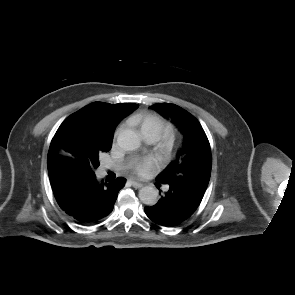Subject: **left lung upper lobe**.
<instances>
[{
    "instance_id": "5c2ea615",
    "label": "left lung upper lobe",
    "mask_w": 295,
    "mask_h": 295,
    "mask_svg": "<svg viewBox=\"0 0 295 295\" xmlns=\"http://www.w3.org/2000/svg\"><path fill=\"white\" fill-rule=\"evenodd\" d=\"M158 109L181 126L183 140L176 158L156 178L163 184L174 183L185 188L207 189L212 166L208 138L199 121L186 110L168 103Z\"/></svg>"
}]
</instances>
